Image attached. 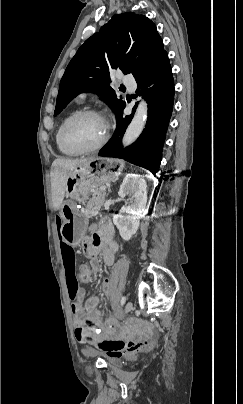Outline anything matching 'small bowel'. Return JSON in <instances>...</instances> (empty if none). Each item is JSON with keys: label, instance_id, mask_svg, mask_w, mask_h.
<instances>
[{"label": "small bowel", "instance_id": "c3829d8e", "mask_svg": "<svg viewBox=\"0 0 243 404\" xmlns=\"http://www.w3.org/2000/svg\"><path fill=\"white\" fill-rule=\"evenodd\" d=\"M61 227V221H58ZM61 255L65 270L69 296L72 300L71 312L75 326V336L79 342L96 344L101 334L108 333L112 328V317L105 311L96 312L99 299L92 297L85 306L81 303L83 290L75 275V252L66 242L62 241ZM119 246L115 240L114 229L110 221L104 220L99 230L83 242L85 255L90 258L93 268L99 265V255L107 266L113 264Z\"/></svg>", "mask_w": 243, "mask_h": 404}]
</instances>
